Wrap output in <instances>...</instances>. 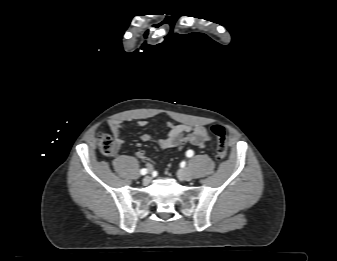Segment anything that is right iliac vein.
Instances as JSON below:
<instances>
[{
  "instance_id": "right-iliac-vein-1",
  "label": "right iliac vein",
  "mask_w": 337,
  "mask_h": 261,
  "mask_svg": "<svg viewBox=\"0 0 337 261\" xmlns=\"http://www.w3.org/2000/svg\"><path fill=\"white\" fill-rule=\"evenodd\" d=\"M151 171V169H149V172ZM150 179V177L149 176H146L145 177V179H144V181H148Z\"/></svg>"
}]
</instances>
